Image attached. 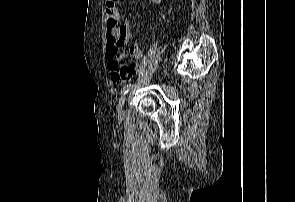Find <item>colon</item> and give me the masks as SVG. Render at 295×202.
I'll list each match as a JSON object with an SVG mask.
<instances>
[{"label": "colon", "instance_id": "5ec220e1", "mask_svg": "<svg viewBox=\"0 0 295 202\" xmlns=\"http://www.w3.org/2000/svg\"><path fill=\"white\" fill-rule=\"evenodd\" d=\"M116 0H108L106 8L116 9ZM118 27V21L116 19L108 20V32H107V41L110 47H119L121 39L115 32V29ZM131 69V68H130ZM121 73V72H119Z\"/></svg>", "mask_w": 295, "mask_h": 202}]
</instances>
